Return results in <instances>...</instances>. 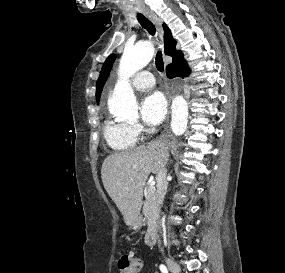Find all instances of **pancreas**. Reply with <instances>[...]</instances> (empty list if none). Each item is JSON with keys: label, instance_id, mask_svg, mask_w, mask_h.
Here are the masks:
<instances>
[{"label": "pancreas", "instance_id": "cf45deb5", "mask_svg": "<svg viewBox=\"0 0 285 273\" xmlns=\"http://www.w3.org/2000/svg\"><path fill=\"white\" fill-rule=\"evenodd\" d=\"M157 212L156 207V194L155 189H147L146 199L143 205V214L145 218L150 220L154 217L155 213Z\"/></svg>", "mask_w": 285, "mask_h": 273}]
</instances>
